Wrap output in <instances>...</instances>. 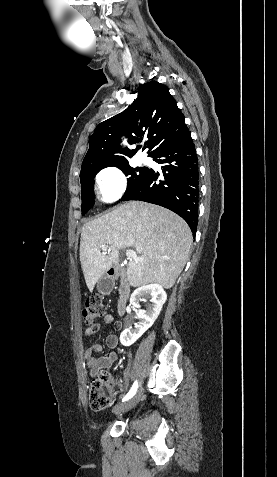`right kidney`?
Listing matches in <instances>:
<instances>
[{"instance_id": "obj_1", "label": "right kidney", "mask_w": 277, "mask_h": 477, "mask_svg": "<svg viewBox=\"0 0 277 477\" xmlns=\"http://www.w3.org/2000/svg\"><path fill=\"white\" fill-rule=\"evenodd\" d=\"M143 298H150L151 305L147 310H139L136 313L138 323L127 324L126 329L120 335V342L123 346H130L135 343L155 322L161 312L162 306L167 299L166 292L159 284H149L137 288L130 297V305L140 308L139 303Z\"/></svg>"}]
</instances>
